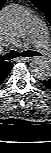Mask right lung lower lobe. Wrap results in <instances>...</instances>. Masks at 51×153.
Masks as SVG:
<instances>
[{
  "label": "right lung lower lobe",
  "instance_id": "right-lung-lower-lobe-1",
  "mask_svg": "<svg viewBox=\"0 0 51 153\" xmlns=\"http://www.w3.org/2000/svg\"><path fill=\"white\" fill-rule=\"evenodd\" d=\"M12 67H13V64L12 63H10V65H9V67H8V69L6 70V74L1 78V82H3L4 81V79L8 76V74L10 73V71H11V69H12Z\"/></svg>",
  "mask_w": 51,
  "mask_h": 153
}]
</instances>
